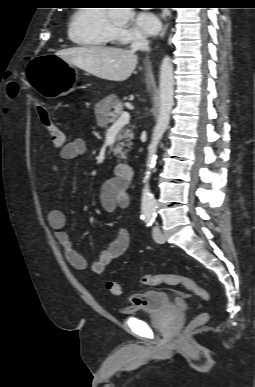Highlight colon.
Returning a JSON list of instances; mask_svg holds the SVG:
<instances>
[{
	"label": "colon",
	"mask_w": 255,
	"mask_h": 387,
	"mask_svg": "<svg viewBox=\"0 0 255 387\" xmlns=\"http://www.w3.org/2000/svg\"><path fill=\"white\" fill-rule=\"evenodd\" d=\"M19 92V86L15 82H11L9 84L8 94L10 97L14 98L17 96ZM36 109L40 118L42 125L50 134L53 145L58 149H63L67 143V137L65 133L56 125L53 121L52 115L50 111L40 105H36ZM142 285L145 286H161L166 285L170 287L181 286L188 291L192 292L199 298L204 301L210 300L209 293L200 285H198L194 280L181 276V275H173V274H146L141 277L140 280ZM107 290L114 296H119L121 294V286L120 284L114 280L109 279L106 282ZM209 319V314L204 312L195 317L187 326V330H192L198 326L205 324Z\"/></svg>",
	"instance_id": "obj_1"
}]
</instances>
